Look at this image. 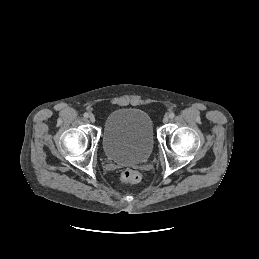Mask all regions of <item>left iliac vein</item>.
<instances>
[{
	"mask_svg": "<svg viewBox=\"0 0 259 259\" xmlns=\"http://www.w3.org/2000/svg\"><path fill=\"white\" fill-rule=\"evenodd\" d=\"M168 121H169V117H168V116H165V117L163 118V123H168Z\"/></svg>",
	"mask_w": 259,
	"mask_h": 259,
	"instance_id": "obj_1",
	"label": "left iliac vein"
}]
</instances>
